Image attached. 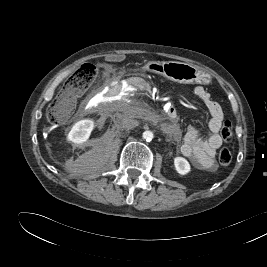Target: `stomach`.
<instances>
[{"mask_svg": "<svg viewBox=\"0 0 267 267\" xmlns=\"http://www.w3.org/2000/svg\"><path fill=\"white\" fill-rule=\"evenodd\" d=\"M144 69L155 74H160L178 83L209 84L211 81L210 76L207 73L199 70L195 66L183 62L149 61L144 66Z\"/></svg>", "mask_w": 267, "mask_h": 267, "instance_id": "1", "label": "stomach"}]
</instances>
